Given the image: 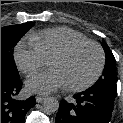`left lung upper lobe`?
<instances>
[{"instance_id":"obj_1","label":"left lung upper lobe","mask_w":123,"mask_h":123,"mask_svg":"<svg viewBox=\"0 0 123 123\" xmlns=\"http://www.w3.org/2000/svg\"><path fill=\"white\" fill-rule=\"evenodd\" d=\"M102 47L106 55V62L103 70V76L100 77L98 81L91 88L109 89V90L116 91L115 58L105 41H102Z\"/></svg>"}]
</instances>
